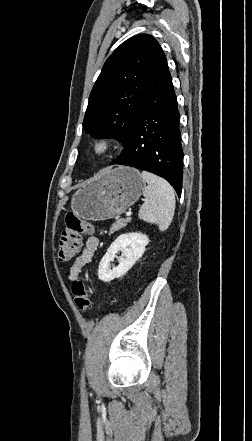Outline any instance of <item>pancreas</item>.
Returning a JSON list of instances; mask_svg holds the SVG:
<instances>
[{
	"instance_id": "obj_1",
	"label": "pancreas",
	"mask_w": 252,
	"mask_h": 441,
	"mask_svg": "<svg viewBox=\"0 0 252 441\" xmlns=\"http://www.w3.org/2000/svg\"><path fill=\"white\" fill-rule=\"evenodd\" d=\"M127 225V220L120 219L117 220L111 227L110 233H114L122 228H124Z\"/></svg>"
}]
</instances>
